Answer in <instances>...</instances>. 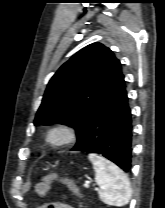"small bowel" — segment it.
<instances>
[{
  "instance_id": "1",
  "label": "small bowel",
  "mask_w": 165,
  "mask_h": 208,
  "mask_svg": "<svg viewBox=\"0 0 165 208\" xmlns=\"http://www.w3.org/2000/svg\"><path fill=\"white\" fill-rule=\"evenodd\" d=\"M45 208H73L65 203H50Z\"/></svg>"
}]
</instances>
